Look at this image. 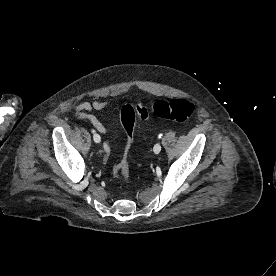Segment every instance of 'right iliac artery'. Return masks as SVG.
<instances>
[{
    "label": "right iliac artery",
    "instance_id": "obj_1",
    "mask_svg": "<svg viewBox=\"0 0 276 276\" xmlns=\"http://www.w3.org/2000/svg\"><path fill=\"white\" fill-rule=\"evenodd\" d=\"M91 132H92V133H95L96 131H95V130H92ZM100 140H101V138L99 137V138H97V139H96V141H95V142H96V143H99V142H100Z\"/></svg>",
    "mask_w": 276,
    "mask_h": 276
}]
</instances>
